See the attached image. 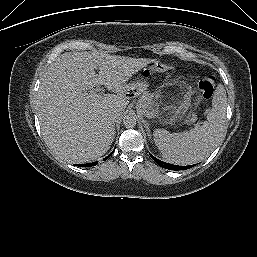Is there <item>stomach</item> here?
<instances>
[{
  "instance_id": "1",
  "label": "stomach",
  "mask_w": 257,
  "mask_h": 257,
  "mask_svg": "<svg viewBox=\"0 0 257 257\" xmlns=\"http://www.w3.org/2000/svg\"><path fill=\"white\" fill-rule=\"evenodd\" d=\"M148 86H149L148 83L142 82V81H138V82L130 85L131 90H134L139 94L145 92L147 90Z\"/></svg>"
}]
</instances>
